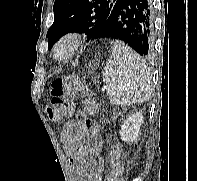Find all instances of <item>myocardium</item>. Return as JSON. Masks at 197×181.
Returning <instances> with one entry per match:
<instances>
[{"label": "myocardium", "instance_id": "obj_1", "mask_svg": "<svg viewBox=\"0 0 197 181\" xmlns=\"http://www.w3.org/2000/svg\"><path fill=\"white\" fill-rule=\"evenodd\" d=\"M84 36L80 32L70 31L63 34L53 48V57L57 61H67L71 59L82 47ZM66 50L61 53V49Z\"/></svg>", "mask_w": 197, "mask_h": 181}]
</instances>
